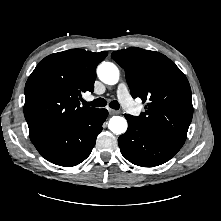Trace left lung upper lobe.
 Instances as JSON below:
<instances>
[{
	"instance_id": "obj_1",
	"label": "left lung upper lobe",
	"mask_w": 221,
	"mask_h": 221,
	"mask_svg": "<svg viewBox=\"0 0 221 221\" xmlns=\"http://www.w3.org/2000/svg\"><path fill=\"white\" fill-rule=\"evenodd\" d=\"M111 57L125 70L131 95L148 101L137 118L153 133L184 144L193 116L186 76L165 55L141 48L115 51Z\"/></svg>"
}]
</instances>
